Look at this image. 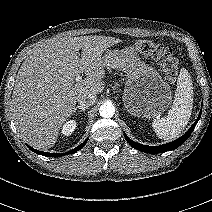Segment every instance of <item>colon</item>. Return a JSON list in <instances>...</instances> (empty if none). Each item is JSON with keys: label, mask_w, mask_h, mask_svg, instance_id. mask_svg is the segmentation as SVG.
<instances>
[{"label": "colon", "mask_w": 212, "mask_h": 212, "mask_svg": "<svg viewBox=\"0 0 212 212\" xmlns=\"http://www.w3.org/2000/svg\"><path fill=\"white\" fill-rule=\"evenodd\" d=\"M137 51L155 59L169 81L175 80L178 74V60L170 48L150 40H140L135 43Z\"/></svg>", "instance_id": "colon-1"}]
</instances>
